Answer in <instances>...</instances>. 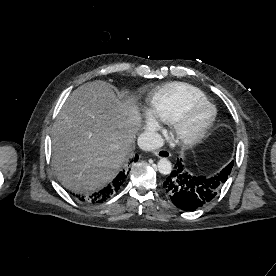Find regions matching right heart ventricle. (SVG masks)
I'll use <instances>...</instances> for the list:
<instances>
[{
    "label": "right heart ventricle",
    "instance_id": "1",
    "mask_svg": "<svg viewBox=\"0 0 276 276\" xmlns=\"http://www.w3.org/2000/svg\"><path fill=\"white\" fill-rule=\"evenodd\" d=\"M202 99H206L204 93L189 84L169 83L152 94L150 113L154 118L171 124L190 102Z\"/></svg>",
    "mask_w": 276,
    "mask_h": 276
}]
</instances>
